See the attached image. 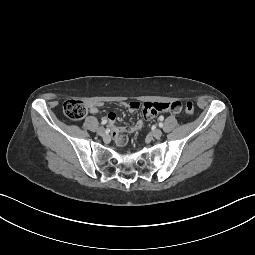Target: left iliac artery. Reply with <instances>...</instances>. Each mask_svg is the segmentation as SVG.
Returning <instances> with one entry per match:
<instances>
[{"label": "left iliac artery", "mask_w": 255, "mask_h": 255, "mask_svg": "<svg viewBox=\"0 0 255 255\" xmlns=\"http://www.w3.org/2000/svg\"><path fill=\"white\" fill-rule=\"evenodd\" d=\"M159 126H160V127H163V124H162V123H160V124H159Z\"/></svg>", "instance_id": "1"}]
</instances>
